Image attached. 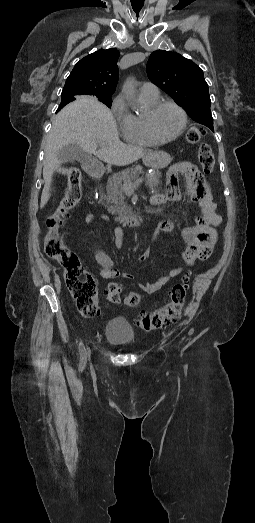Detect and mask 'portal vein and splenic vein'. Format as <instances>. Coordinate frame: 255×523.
Masks as SVG:
<instances>
[{"label":"portal vein and splenic vein","instance_id":"18ae733b","mask_svg":"<svg viewBox=\"0 0 255 523\" xmlns=\"http://www.w3.org/2000/svg\"><path fill=\"white\" fill-rule=\"evenodd\" d=\"M143 183L142 177L136 178L133 182H124L123 188L126 191L125 195L127 197L134 196L135 188Z\"/></svg>","mask_w":255,"mask_h":523}]
</instances>
